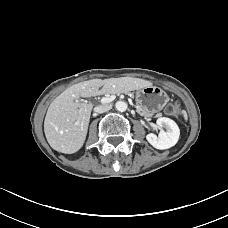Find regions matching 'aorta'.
I'll use <instances>...</instances> for the list:
<instances>
[{
	"instance_id": "aorta-1",
	"label": "aorta",
	"mask_w": 228,
	"mask_h": 228,
	"mask_svg": "<svg viewBox=\"0 0 228 228\" xmlns=\"http://www.w3.org/2000/svg\"><path fill=\"white\" fill-rule=\"evenodd\" d=\"M115 108H116V110H118L120 112H124L127 109V103L124 101H118L115 104Z\"/></svg>"
}]
</instances>
